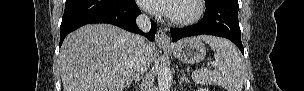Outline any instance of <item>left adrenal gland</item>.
Segmentation results:
<instances>
[{"instance_id":"left-adrenal-gland-1","label":"left adrenal gland","mask_w":304,"mask_h":91,"mask_svg":"<svg viewBox=\"0 0 304 91\" xmlns=\"http://www.w3.org/2000/svg\"><path fill=\"white\" fill-rule=\"evenodd\" d=\"M181 74H182V77L180 78L179 83H180V84H181L182 82H188V83H189V80H188V78L186 77V74H185L184 70H181Z\"/></svg>"}]
</instances>
